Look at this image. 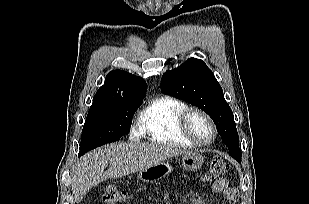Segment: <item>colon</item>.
<instances>
[{"instance_id": "colon-1", "label": "colon", "mask_w": 309, "mask_h": 204, "mask_svg": "<svg viewBox=\"0 0 309 204\" xmlns=\"http://www.w3.org/2000/svg\"><path fill=\"white\" fill-rule=\"evenodd\" d=\"M228 168V164L222 158L216 157L210 162L204 178L209 182L217 181L227 173ZM127 198L124 190L113 185L106 186L101 197L104 204H123Z\"/></svg>"}]
</instances>
